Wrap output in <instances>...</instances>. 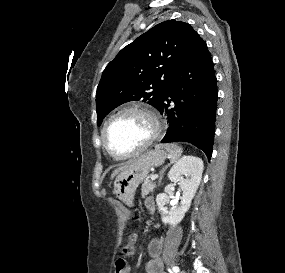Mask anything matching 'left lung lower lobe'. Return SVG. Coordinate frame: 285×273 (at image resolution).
Here are the masks:
<instances>
[{
    "label": "left lung lower lobe",
    "mask_w": 285,
    "mask_h": 273,
    "mask_svg": "<svg viewBox=\"0 0 285 273\" xmlns=\"http://www.w3.org/2000/svg\"><path fill=\"white\" fill-rule=\"evenodd\" d=\"M216 82L207 45L194 31L158 107L168 120V130L162 143H192L202 149L210 160L217 108Z\"/></svg>",
    "instance_id": "obj_1"
}]
</instances>
